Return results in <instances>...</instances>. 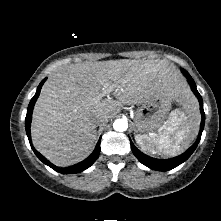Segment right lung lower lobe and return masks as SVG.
<instances>
[{"mask_svg":"<svg viewBox=\"0 0 221 221\" xmlns=\"http://www.w3.org/2000/svg\"><path fill=\"white\" fill-rule=\"evenodd\" d=\"M46 78L44 80L41 81V83L39 84L38 88H37V92L34 95V97L31 99L28 109H27V115L25 118V128H26V133L31 145V148L33 149L34 153L36 154V156L46 165H48L49 167H51L52 169H54L55 171L62 173V174H71V173H78L81 171H84L85 169L89 168L94 162L95 160L99 157L100 154V139L96 145L95 150L93 151V153L84 161L74 165V166H70V167H66V168H59L55 165H53L52 163H50L44 156H42L32 145L31 142V134H30V123H31V119H32V111H33V107L34 104L40 94V90L42 88L43 83L45 82Z\"/></svg>","mask_w":221,"mask_h":221,"instance_id":"right-lung-lower-lobe-1","label":"right lung lower lobe"}]
</instances>
